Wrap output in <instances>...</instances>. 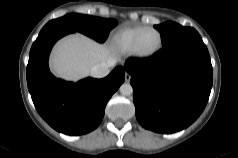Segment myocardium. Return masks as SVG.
Returning a JSON list of instances; mask_svg holds the SVG:
<instances>
[{
	"label": "myocardium",
	"mask_w": 238,
	"mask_h": 158,
	"mask_svg": "<svg viewBox=\"0 0 238 158\" xmlns=\"http://www.w3.org/2000/svg\"><path fill=\"white\" fill-rule=\"evenodd\" d=\"M149 30L155 31L157 33V35H158V44L152 51L142 52L139 49V42H140V39H141L142 35L146 31H149ZM161 47H162V34H161V32L158 29H156L155 27H145L140 32H138V34L135 36L130 52L132 53L133 56H135L137 58L147 59V58H151L154 55H156L160 51Z\"/></svg>",
	"instance_id": "myocardium-1"
}]
</instances>
